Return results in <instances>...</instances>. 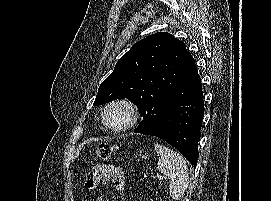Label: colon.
I'll return each mask as SVG.
<instances>
[{
    "label": "colon",
    "instance_id": "1",
    "mask_svg": "<svg viewBox=\"0 0 271 201\" xmlns=\"http://www.w3.org/2000/svg\"><path fill=\"white\" fill-rule=\"evenodd\" d=\"M115 145L109 143H101L96 147L95 156L97 158L106 159L115 151Z\"/></svg>",
    "mask_w": 271,
    "mask_h": 201
}]
</instances>
